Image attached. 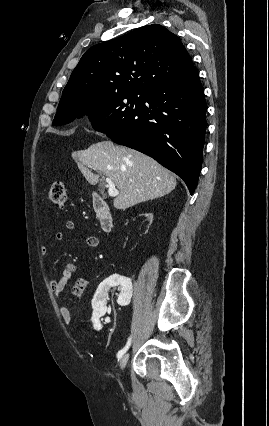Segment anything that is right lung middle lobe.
<instances>
[{
    "mask_svg": "<svg viewBox=\"0 0 269 426\" xmlns=\"http://www.w3.org/2000/svg\"><path fill=\"white\" fill-rule=\"evenodd\" d=\"M146 93L120 92L93 97L61 98L53 125H64L76 117L89 115L96 131L107 133L137 113L145 102Z\"/></svg>",
    "mask_w": 269,
    "mask_h": 426,
    "instance_id": "1",
    "label": "right lung middle lobe"
}]
</instances>
